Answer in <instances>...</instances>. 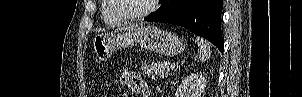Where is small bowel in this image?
Instances as JSON below:
<instances>
[{
  "mask_svg": "<svg viewBox=\"0 0 302 97\" xmlns=\"http://www.w3.org/2000/svg\"><path fill=\"white\" fill-rule=\"evenodd\" d=\"M120 86L129 89L140 97H149V88L146 82L134 71L124 69L119 77Z\"/></svg>",
  "mask_w": 302,
  "mask_h": 97,
  "instance_id": "c3829d8e",
  "label": "small bowel"
}]
</instances>
